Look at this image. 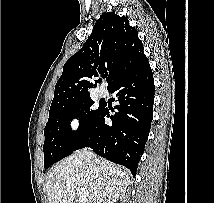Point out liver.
Wrapping results in <instances>:
<instances>
[{"mask_svg":"<svg viewBox=\"0 0 214 203\" xmlns=\"http://www.w3.org/2000/svg\"><path fill=\"white\" fill-rule=\"evenodd\" d=\"M98 160L95 165L86 151H78L56 164L46 179L48 203H76L80 188L88 192L85 203H116L123 198L130 173L108 160Z\"/></svg>","mask_w":214,"mask_h":203,"instance_id":"liver-1","label":"liver"}]
</instances>
